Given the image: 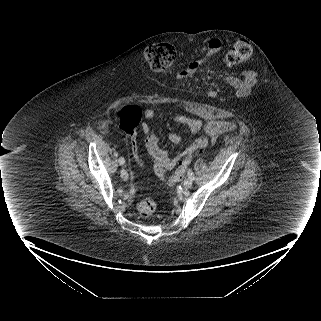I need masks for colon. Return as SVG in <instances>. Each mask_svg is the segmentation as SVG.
<instances>
[{"mask_svg": "<svg viewBox=\"0 0 321 321\" xmlns=\"http://www.w3.org/2000/svg\"><path fill=\"white\" fill-rule=\"evenodd\" d=\"M252 52V47L249 42L240 40L236 42L225 56V64L227 66L238 65L247 60ZM176 58L175 48L168 43H160L149 46L145 51V59L151 69L157 73L166 74L173 66ZM143 116L141 107L137 105L122 106L116 113L117 123L120 129L126 133L133 135L140 124ZM136 162L141 165L142 159L136 151L134 140H132ZM205 139H198L196 146H202ZM191 162V157L187 156L180 160L179 165L174 174L166 180L169 186L177 184L184 176L188 165ZM156 210V203L152 198H143L137 203V211L144 218H150Z\"/></svg>", "mask_w": 321, "mask_h": 321, "instance_id": "obj_1", "label": "colon"}]
</instances>
